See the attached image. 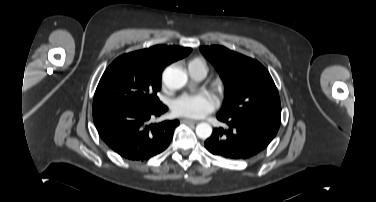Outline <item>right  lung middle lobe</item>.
I'll list each match as a JSON object with an SVG mask.
<instances>
[{"instance_id": "obj_1", "label": "right lung middle lobe", "mask_w": 376, "mask_h": 202, "mask_svg": "<svg viewBox=\"0 0 376 202\" xmlns=\"http://www.w3.org/2000/svg\"><path fill=\"white\" fill-rule=\"evenodd\" d=\"M161 76L133 54L115 59L104 72L94 95L93 109L114 104L152 106L159 103Z\"/></svg>"}]
</instances>
